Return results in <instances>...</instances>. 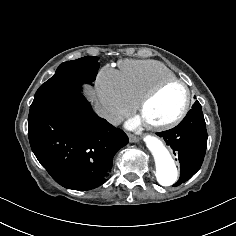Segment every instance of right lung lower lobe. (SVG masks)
Masks as SVG:
<instances>
[{
	"instance_id": "1",
	"label": "right lung lower lobe",
	"mask_w": 236,
	"mask_h": 236,
	"mask_svg": "<svg viewBox=\"0 0 236 236\" xmlns=\"http://www.w3.org/2000/svg\"><path fill=\"white\" fill-rule=\"evenodd\" d=\"M32 151L51 177L65 188L89 190L105 182L127 135L92 111L79 93L30 108Z\"/></svg>"
}]
</instances>
